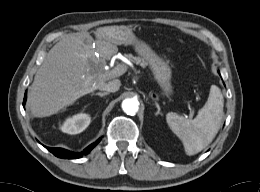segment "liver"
I'll list each match as a JSON object with an SVG mask.
<instances>
[{
    "label": "liver",
    "mask_w": 260,
    "mask_h": 192,
    "mask_svg": "<svg viewBox=\"0 0 260 192\" xmlns=\"http://www.w3.org/2000/svg\"><path fill=\"white\" fill-rule=\"evenodd\" d=\"M126 26H107L96 31V49L88 35H70L56 43L47 53L35 74L29 92V108L35 117L57 113L78 98L103 87L111 78L104 63L117 52L111 40V29Z\"/></svg>",
    "instance_id": "6515ba94"
}]
</instances>
